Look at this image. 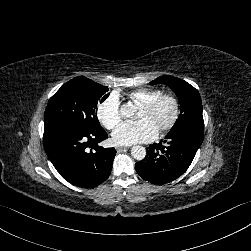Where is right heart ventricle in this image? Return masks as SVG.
<instances>
[{
  "label": "right heart ventricle",
  "mask_w": 251,
  "mask_h": 251,
  "mask_svg": "<svg viewBox=\"0 0 251 251\" xmlns=\"http://www.w3.org/2000/svg\"><path fill=\"white\" fill-rule=\"evenodd\" d=\"M163 91L158 88H139L132 91L129 94V98L132 102L139 104L140 106L149 103L154 98L161 95Z\"/></svg>",
  "instance_id": "e07e8e85"
}]
</instances>
